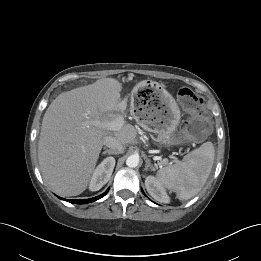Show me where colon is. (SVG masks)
I'll return each mask as SVG.
<instances>
[{
    "instance_id": "5ec220e1",
    "label": "colon",
    "mask_w": 261,
    "mask_h": 261,
    "mask_svg": "<svg viewBox=\"0 0 261 261\" xmlns=\"http://www.w3.org/2000/svg\"><path fill=\"white\" fill-rule=\"evenodd\" d=\"M177 99L189 115L180 130V139H202L211 129L204 99L187 87L178 89Z\"/></svg>"
}]
</instances>
